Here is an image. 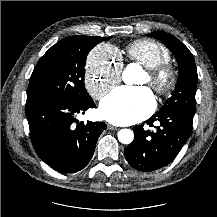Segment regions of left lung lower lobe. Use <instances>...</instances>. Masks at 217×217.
<instances>
[{
	"label": "left lung lower lobe",
	"mask_w": 217,
	"mask_h": 217,
	"mask_svg": "<svg viewBox=\"0 0 217 217\" xmlns=\"http://www.w3.org/2000/svg\"><path fill=\"white\" fill-rule=\"evenodd\" d=\"M194 113L174 109L154 114L146 122L156 131H145L144 124L134 127V141L125 148V158L135 169L150 172L168 165L178 155L188 140Z\"/></svg>",
	"instance_id": "obj_1"
}]
</instances>
